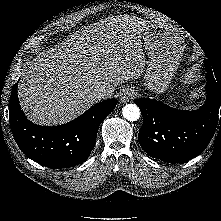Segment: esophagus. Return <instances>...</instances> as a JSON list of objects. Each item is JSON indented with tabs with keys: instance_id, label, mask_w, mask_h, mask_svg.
I'll list each match as a JSON object with an SVG mask.
<instances>
[{
	"instance_id": "1",
	"label": "esophagus",
	"mask_w": 221,
	"mask_h": 221,
	"mask_svg": "<svg viewBox=\"0 0 221 221\" xmlns=\"http://www.w3.org/2000/svg\"><path fill=\"white\" fill-rule=\"evenodd\" d=\"M136 95V92L133 89H125L121 95L120 99L123 103L129 102L131 99H133Z\"/></svg>"
}]
</instances>
